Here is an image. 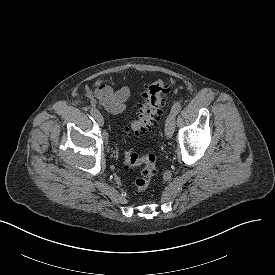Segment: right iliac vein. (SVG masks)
I'll return each mask as SVG.
<instances>
[{
	"label": "right iliac vein",
	"mask_w": 275,
	"mask_h": 275,
	"mask_svg": "<svg viewBox=\"0 0 275 275\" xmlns=\"http://www.w3.org/2000/svg\"><path fill=\"white\" fill-rule=\"evenodd\" d=\"M95 120L97 121V123L102 126L104 124V119L102 117V115L98 112L96 117H95Z\"/></svg>",
	"instance_id": "right-iliac-vein-1"
}]
</instances>
